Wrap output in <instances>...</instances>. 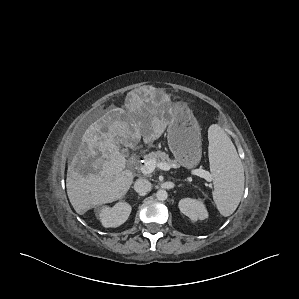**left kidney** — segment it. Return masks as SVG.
I'll return each instance as SVG.
<instances>
[{"label": "left kidney", "instance_id": "left-kidney-1", "mask_svg": "<svg viewBox=\"0 0 299 299\" xmlns=\"http://www.w3.org/2000/svg\"><path fill=\"white\" fill-rule=\"evenodd\" d=\"M180 211L191 220H204L208 218V212L201 199L184 198L179 201Z\"/></svg>", "mask_w": 299, "mask_h": 299}]
</instances>
